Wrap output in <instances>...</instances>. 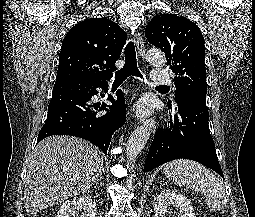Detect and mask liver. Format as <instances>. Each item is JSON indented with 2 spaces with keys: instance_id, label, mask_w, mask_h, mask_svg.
<instances>
[{
  "instance_id": "liver-1",
  "label": "liver",
  "mask_w": 255,
  "mask_h": 217,
  "mask_svg": "<svg viewBox=\"0 0 255 217\" xmlns=\"http://www.w3.org/2000/svg\"><path fill=\"white\" fill-rule=\"evenodd\" d=\"M104 170L101 151L72 136L48 137L30 157L24 200L28 214L87 191Z\"/></svg>"
}]
</instances>
